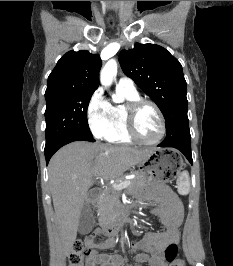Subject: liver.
I'll list each match as a JSON object with an SVG mask.
<instances>
[{
	"mask_svg": "<svg viewBox=\"0 0 233 266\" xmlns=\"http://www.w3.org/2000/svg\"><path fill=\"white\" fill-rule=\"evenodd\" d=\"M152 150L77 141L62 147L50 160L49 184L62 243L68 256L75 242L81 210L95 176L118 179L144 161Z\"/></svg>",
	"mask_w": 233,
	"mask_h": 266,
	"instance_id": "obj_1",
	"label": "liver"
}]
</instances>
